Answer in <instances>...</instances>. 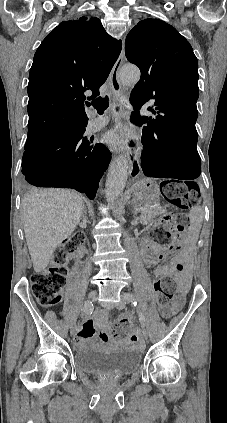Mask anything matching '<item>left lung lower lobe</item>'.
I'll return each instance as SVG.
<instances>
[{
    "instance_id": "left-lung-lower-lobe-1",
    "label": "left lung lower lobe",
    "mask_w": 227,
    "mask_h": 423,
    "mask_svg": "<svg viewBox=\"0 0 227 423\" xmlns=\"http://www.w3.org/2000/svg\"><path fill=\"white\" fill-rule=\"evenodd\" d=\"M155 114V113H154ZM155 118L139 120V111L131 120L143 126L141 157L143 172L149 177L193 180L201 173V159L197 152L196 119L157 113Z\"/></svg>"
}]
</instances>
